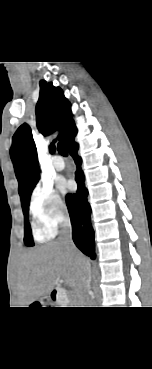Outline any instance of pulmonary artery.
<instances>
[{
  "label": "pulmonary artery",
  "instance_id": "e3ab8cb5",
  "mask_svg": "<svg viewBox=\"0 0 152 369\" xmlns=\"http://www.w3.org/2000/svg\"><path fill=\"white\" fill-rule=\"evenodd\" d=\"M52 165L56 171H62L65 168V163L60 156H54Z\"/></svg>",
  "mask_w": 152,
  "mask_h": 369
}]
</instances>
